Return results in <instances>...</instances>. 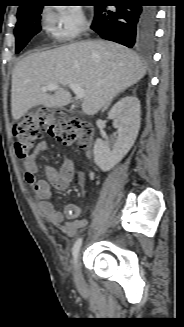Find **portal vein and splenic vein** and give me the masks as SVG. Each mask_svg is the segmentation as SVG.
Returning a JSON list of instances; mask_svg holds the SVG:
<instances>
[{"label": "portal vein and splenic vein", "instance_id": "18ae733b", "mask_svg": "<svg viewBox=\"0 0 184 327\" xmlns=\"http://www.w3.org/2000/svg\"><path fill=\"white\" fill-rule=\"evenodd\" d=\"M60 88V85L58 84H49L46 86L41 87L42 92H47V91H54ZM69 88L73 91V93L76 95L78 99H82L84 97V89L81 88L77 84H70Z\"/></svg>", "mask_w": 184, "mask_h": 327}]
</instances>
